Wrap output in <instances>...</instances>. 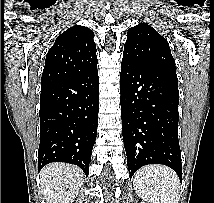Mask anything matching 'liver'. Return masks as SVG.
<instances>
[{"mask_svg": "<svg viewBox=\"0 0 214 203\" xmlns=\"http://www.w3.org/2000/svg\"><path fill=\"white\" fill-rule=\"evenodd\" d=\"M84 183L83 171L74 165L51 163L40 172V185L47 203H72Z\"/></svg>", "mask_w": 214, "mask_h": 203, "instance_id": "obj_1", "label": "liver"}]
</instances>
